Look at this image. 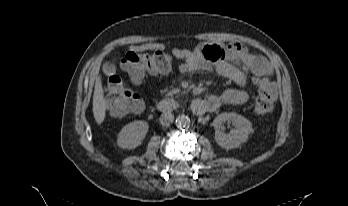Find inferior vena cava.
<instances>
[{"label":"inferior vena cava","instance_id":"inferior-vena-cava-1","mask_svg":"<svg viewBox=\"0 0 348 206\" xmlns=\"http://www.w3.org/2000/svg\"><path fill=\"white\" fill-rule=\"evenodd\" d=\"M174 120V115L167 111V112H164L161 117H160V122L162 125H170V123H172Z\"/></svg>","mask_w":348,"mask_h":206}]
</instances>
